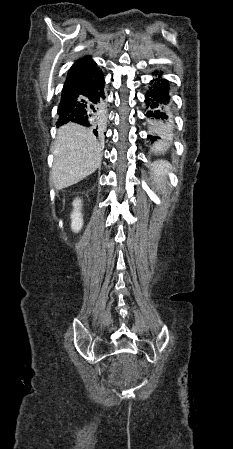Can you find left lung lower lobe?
<instances>
[{
	"label": "left lung lower lobe",
	"instance_id": "1",
	"mask_svg": "<svg viewBox=\"0 0 233 449\" xmlns=\"http://www.w3.org/2000/svg\"><path fill=\"white\" fill-rule=\"evenodd\" d=\"M161 74L162 73L158 71L154 72L153 75H158V78L151 81V87L145 95V103L148 108L146 115L155 125L154 127L156 130L161 126L165 127L168 116L164 110L170 101L169 83L167 80L161 78ZM148 139L154 141L159 139V137L148 136Z\"/></svg>",
	"mask_w": 233,
	"mask_h": 449
}]
</instances>
